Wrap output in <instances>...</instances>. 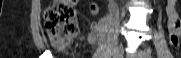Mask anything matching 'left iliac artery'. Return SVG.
Returning <instances> with one entry per match:
<instances>
[{"mask_svg": "<svg viewBox=\"0 0 181 58\" xmlns=\"http://www.w3.org/2000/svg\"><path fill=\"white\" fill-rule=\"evenodd\" d=\"M146 58H151V55L149 53H144Z\"/></svg>", "mask_w": 181, "mask_h": 58, "instance_id": "1", "label": "left iliac artery"}]
</instances>
